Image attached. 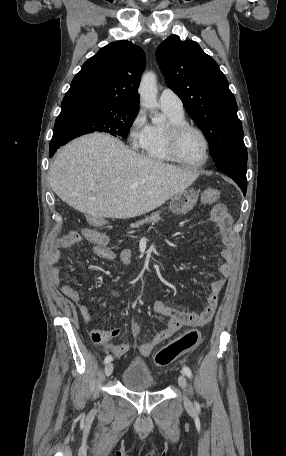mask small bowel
Returning <instances> with one entry per match:
<instances>
[{"instance_id":"small-bowel-1","label":"small bowel","mask_w":286,"mask_h":456,"mask_svg":"<svg viewBox=\"0 0 286 456\" xmlns=\"http://www.w3.org/2000/svg\"><path fill=\"white\" fill-rule=\"evenodd\" d=\"M211 219L218 224L223 240L224 247L221 252L223 263L219 266V272L223 278L211 283L210 293L206 298L205 307L198 312L182 311L168 305L162 300H156L154 302V312L168 317L169 321L167 325L155 335L152 341L144 343L139 347L142 356H148L156 345L173 336L181 328L203 326L212 319L218 305L219 295L225 286L226 279L232 274L234 263V235L232 232V219L224 205L217 204L213 207ZM82 237L93 244V254L101 259L118 260L125 265H130L133 260V254L126 248L115 250L110 247L108 237L104 233L92 229H85L82 232V235L80 233L76 235L75 231L69 232L58 239V243L51 251L49 258L53 281L61 287L64 296L77 305L82 319L89 322L92 320V313L89 306L82 301L78 290L69 282L61 281L58 267L61 258V249L77 243ZM130 330L134 338H138L141 334V328L133 319L130 320ZM120 332V328H115L111 331L92 329L90 331V338L94 343L112 352L115 356L121 357L129 351L130 347L127 344H115L112 342ZM144 346L148 347L147 354H142L141 352Z\"/></svg>"}]
</instances>
